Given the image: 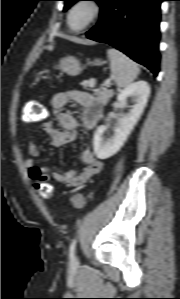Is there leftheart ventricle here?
Here are the masks:
<instances>
[{
  "instance_id": "b2bd125f",
  "label": "left heart ventricle",
  "mask_w": 180,
  "mask_h": 299,
  "mask_svg": "<svg viewBox=\"0 0 180 299\" xmlns=\"http://www.w3.org/2000/svg\"><path fill=\"white\" fill-rule=\"evenodd\" d=\"M90 17V10L85 6L76 8L71 16V25L75 28L82 26Z\"/></svg>"
}]
</instances>
